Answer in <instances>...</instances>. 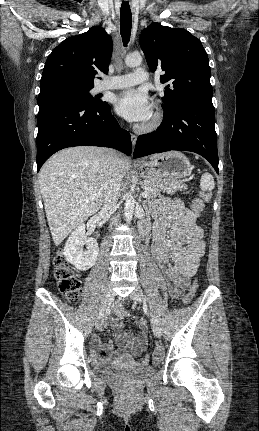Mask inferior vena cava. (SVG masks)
Listing matches in <instances>:
<instances>
[{
	"label": "inferior vena cava",
	"instance_id": "602c4592",
	"mask_svg": "<svg viewBox=\"0 0 259 431\" xmlns=\"http://www.w3.org/2000/svg\"><path fill=\"white\" fill-rule=\"evenodd\" d=\"M122 175L119 170V155L114 150H109L106 158V181L104 185V208L113 210L121 190ZM116 223L112 218L110 227Z\"/></svg>",
	"mask_w": 259,
	"mask_h": 431
}]
</instances>
